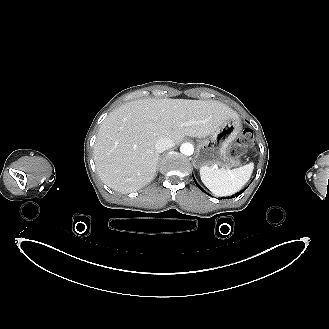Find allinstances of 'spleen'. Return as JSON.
Returning <instances> with one entry per match:
<instances>
[{
    "instance_id": "3e777b00",
    "label": "spleen",
    "mask_w": 329,
    "mask_h": 329,
    "mask_svg": "<svg viewBox=\"0 0 329 329\" xmlns=\"http://www.w3.org/2000/svg\"><path fill=\"white\" fill-rule=\"evenodd\" d=\"M254 169V163L229 169H214L202 167L200 177L204 185L216 196L235 194L249 181Z\"/></svg>"
}]
</instances>
